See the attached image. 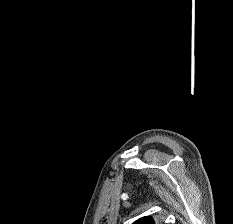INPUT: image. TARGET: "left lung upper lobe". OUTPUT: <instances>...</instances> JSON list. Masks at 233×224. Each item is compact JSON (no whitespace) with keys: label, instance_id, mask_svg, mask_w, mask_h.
Segmentation results:
<instances>
[{"label":"left lung upper lobe","instance_id":"obj_1","mask_svg":"<svg viewBox=\"0 0 233 224\" xmlns=\"http://www.w3.org/2000/svg\"><path fill=\"white\" fill-rule=\"evenodd\" d=\"M133 224H156V221L151 216H145L136 220Z\"/></svg>","mask_w":233,"mask_h":224}]
</instances>
